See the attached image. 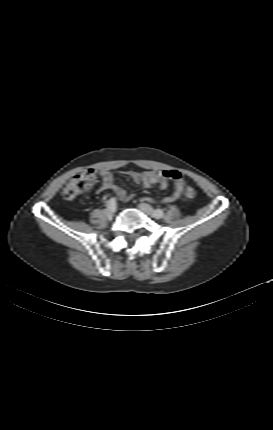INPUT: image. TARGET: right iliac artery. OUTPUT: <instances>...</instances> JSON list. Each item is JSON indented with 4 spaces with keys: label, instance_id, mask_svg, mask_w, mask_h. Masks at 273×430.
<instances>
[{
    "label": "right iliac artery",
    "instance_id": "right-iliac-artery-1",
    "mask_svg": "<svg viewBox=\"0 0 273 430\" xmlns=\"http://www.w3.org/2000/svg\"><path fill=\"white\" fill-rule=\"evenodd\" d=\"M107 207H108V209H113V210H115V208H116V199H115L114 197L110 198V199L107 201Z\"/></svg>",
    "mask_w": 273,
    "mask_h": 430
}]
</instances>
